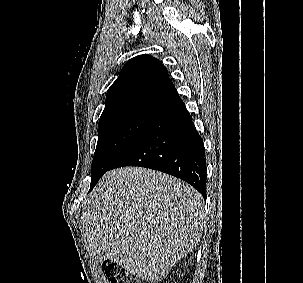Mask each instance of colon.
Instances as JSON below:
<instances>
[{
	"instance_id": "colon-1",
	"label": "colon",
	"mask_w": 303,
	"mask_h": 283,
	"mask_svg": "<svg viewBox=\"0 0 303 283\" xmlns=\"http://www.w3.org/2000/svg\"><path fill=\"white\" fill-rule=\"evenodd\" d=\"M103 268L111 283H141L139 280L128 276L115 262L107 261L103 264Z\"/></svg>"
}]
</instances>
